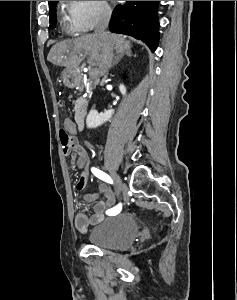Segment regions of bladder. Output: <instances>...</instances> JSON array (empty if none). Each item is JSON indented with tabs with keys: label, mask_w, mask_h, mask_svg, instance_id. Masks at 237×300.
Listing matches in <instances>:
<instances>
[{
	"label": "bladder",
	"mask_w": 237,
	"mask_h": 300,
	"mask_svg": "<svg viewBox=\"0 0 237 300\" xmlns=\"http://www.w3.org/2000/svg\"><path fill=\"white\" fill-rule=\"evenodd\" d=\"M140 227L127 213L106 217L87 233L88 242L102 249L121 250L130 247L138 236Z\"/></svg>",
	"instance_id": "1"
}]
</instances>
